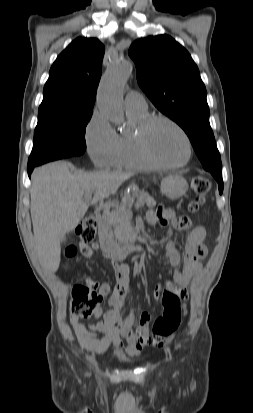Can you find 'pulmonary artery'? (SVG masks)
<instances>
[{
	"label": "pulmonary artery",
	"instance_id": "obj_1",
	"mask_svg": "<svg viewBox=\"0 0 253 413\" xmlns=\"http://www.w3.org/2000/svg\"><path fill=\"white\" fill-rule=\"evenodd\" d=\"M125 109L133 112L147 111V103L145 98L138 92L130 91L125 96Z\"/></svg>",
	"mask_w": 253,
	"mask_h": 413
}]
</instances>
